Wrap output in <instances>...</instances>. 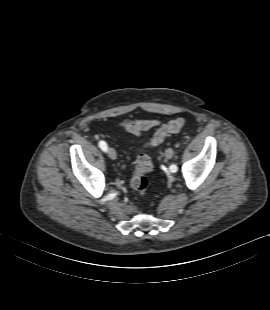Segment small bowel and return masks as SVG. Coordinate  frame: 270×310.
I'll return each instance as SVG.
<instances>
[{
    "instance_id": "small-bowel-1",
    "label": "small bowel",
    "mask_w": 270,
    "mask_h": 310,
    "mask_svg": "<svg viewBox=\"0 0 270 310\" xmlns=\"http://www.w3.org/2000/svg\"><path fill=\"white\" fill-rule=\"evenodd\" d=\"M162 122L158 119L123 120L121 126L134 136H140L143 132L159 127Z\"/></svg>"
}]
</instances>
